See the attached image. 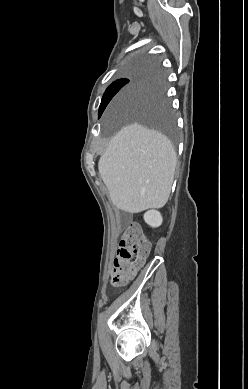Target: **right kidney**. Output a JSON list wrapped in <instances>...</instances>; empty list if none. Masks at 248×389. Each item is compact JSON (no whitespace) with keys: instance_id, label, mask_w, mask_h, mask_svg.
<instances>
[{"instance_id":"right-kidney-1","label":"right kidney","mask_w":248,"mask_h":389,"mask_svg":"<svg viewBox=\"0 0 248 389\" xmlns=\"http://www.w3.org/2000/svg\"><path fill=\"white\" fill-rule=\"evenodd\" d=\"M144 220L149 226H151L153 228L159 227L163 221L160 212H158L156 210H150V211L146 212L144 214Z\"/></svg>"}]
</instances>
